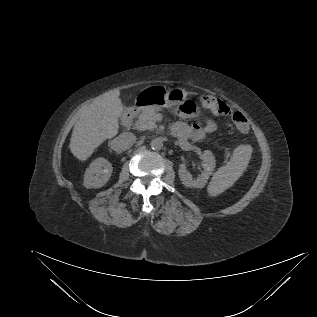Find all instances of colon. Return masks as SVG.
I'll return each instance as SVG.
<instances>
[{
  "label": "colon",
  "instance_id": "1",
  "mask_svg": "<svg viewBox=\"0 0 317 317\" xmlns=\"http://www.w3.org/2000/svg\"><path fill=\"white\" fill-rule=\"evenodd\" d=\"M199 103L203 109L211 110L218 115L230 116L238 129H243L246 124L248 125L247 119L240 112H234L224 101L217 97L204 95L199 98ZM190 108V103H186L181 107L180 111L188 113L190 112ZM244 119H246V121H244Z\"/></svg>",
  "mask_w": 317,
  "mask_h": 317
}]
</instances>
